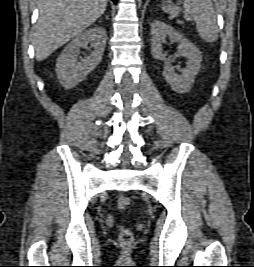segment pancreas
Listing matches in <instances>:
<instances>
[{
    "mask_svg": "<svg viewBox=\"0 0 254 267\" xmlns=\"http://www.w3.org/2000/svg\"><path fill=\"white\" fill-rule=\"evenodd\" d=\"M179 24H182L183 22L182 21H178Z\"/></svg>",
    "mask_w": 254,
    "mask_h": 267,
    "instance_id": "pancreas-1",
    "label": "pancreas"
}]
</instances>
